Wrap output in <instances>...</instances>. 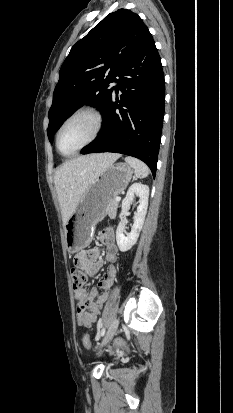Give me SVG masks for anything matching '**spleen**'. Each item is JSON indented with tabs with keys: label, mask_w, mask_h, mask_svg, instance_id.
I'll use <instances>...</instances> for the list:
<instances>
[{
	"label": "spleen",
	"mask_w": 233,
	"mask_h": 413,
	"mask_svg": "<svg viewBox=\"0 0 233 413\" xmlns=\"http://www.w3.org/2000/svg\"><path fill=\"white\" fill-rule=\"evenodd\" d=\"M125 161L134 169L137 178H145L149 175L148 166L141 160L127 156Z\"/></svg>",
	"instance_id": "spleen-1"
}]
</instances>
